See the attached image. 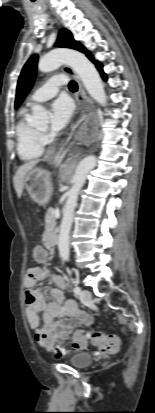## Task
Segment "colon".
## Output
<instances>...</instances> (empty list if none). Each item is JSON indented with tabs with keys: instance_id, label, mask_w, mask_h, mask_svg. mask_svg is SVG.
<instances>
[{
	"instance_id": "5ec220e1",
	"label": "colon",
	"mask_w": 155,
	"mask_h": 413,
	"mask_svg": "<svg viewBox=\"0 0 155 413\" xmlns=\"http://www.w3.org/2000/svg\"><path fill=\"white\" fill-rule=\"evenodd\" d=\"M31 258L37 263H43L47 259V253L41 246H35L31 250ZM90 342L97 346L102 353H115L119 349V339L116 335L105 334L99 331H79L75 334L74 341L71 345L72 350L80 349L84 344ZM45 349L61 355L64 349L59 348L54 342L45 340L42 344Z\"/></svg>"
}]
</instances>
